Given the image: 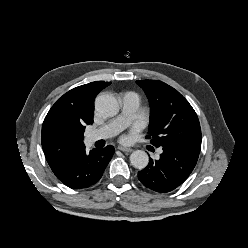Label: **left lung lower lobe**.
Segmentation results:
<instances>
[{
  "label": "left lung lower lobe",
  "instance_id": "obj_1",
  "mask_svg": "<svg viewBox=\"0 0 248 248\" xmlns=\"http://www.w3.org/2000/svg\"><path fill=\"white\" fill-rule=\"evenodd\" d=\"M197 154L162 147L160 159H149L146 168L138 172V178L148 189L155 192H170L180 186L193 171Z\"/></svg>",
  "mask_w": 248,
  "mask_h": 248
}]
</instances>
